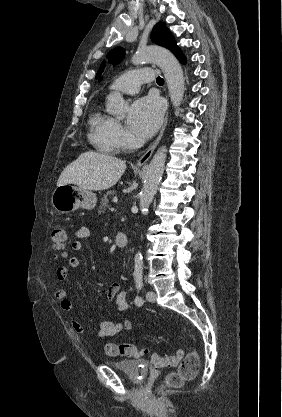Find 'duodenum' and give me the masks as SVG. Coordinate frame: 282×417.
<instances>
[{
  "label": "duodenum",
  "mask_w": 282,
  "mask_h": 417,
  "mask_svg": "<svg viewBox=\"0 0 282 417\" xmlns=\"http://www.w3.org/2000/svg\"><path fill=\"white\" fill-rule=\"evenodd\" d=\"M114 243L119 248H124L127 244V234L124 232H118L114 237Z\"/></svg>",
  "instance_id": "duodenum-1"
}]
</instances>
